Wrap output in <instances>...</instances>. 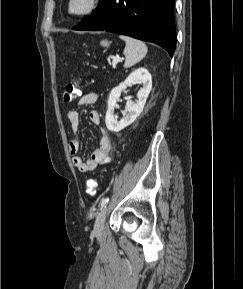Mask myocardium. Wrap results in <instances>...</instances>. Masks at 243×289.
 <instances>
[{
  "label": "myocardium",
  "instance_id": "1",
  "mask_svg": "<svg viewBox=\"0 0 243 289\" xmlns=\"http://www.w3.org/2000/svg\"><path fill=\"white\" fill-rule=\"evenodd\" d=\"M74 2L75 0H68L67 2L68 13L72 16L82 17L95 12L99 8L101 0H86L85 6L80 10L73 9Z\"/></svg>",
  "mask_w": 243,
  "mask_h": 289
}]
</instances>
